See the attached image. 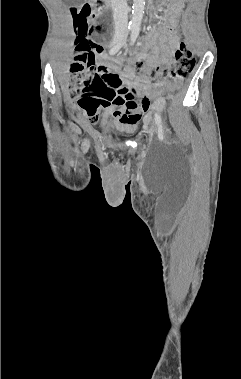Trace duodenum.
I'll list each match as a JSON object with an SVG mask.
<instances>
[{
	"instance_id": "1",
	"label": "duodenum",
	"mask_w": 241,
	"mask_h": 379,
	"mask_svg": "<svg viewBox=\"0 0 241 379\" xmlns=\"http://www.w3.org/2000/svg\"><path fill=\"white\" fill-rule=\"evenodd\" d=\"M105 4H108L110 0H102Z\"/></svg>"
}]
</instances>
